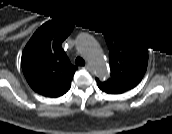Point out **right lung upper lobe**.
<instances>
[{"instance_id":"obj_1","label":"right lung upper lobe","mask_w":172,"mask_h":134,"mask_svg":"<svg viewBox=\"0 0 172 134\" xmlns=\"http://www.w3.org/2000/svg\"><path fill=\"white\" fill-rule=\"evenodd\" d=\"M71 29L57 22L43 24L25 46L21 65L30 87L46 97H59L71 86L73 66L61 44Z\"/></svg>"}]
</instances>
